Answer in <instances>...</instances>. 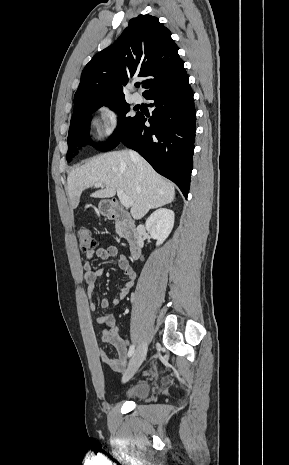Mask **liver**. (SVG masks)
<instances>
[{
  "label": "liver",
  "mask_w": 289,
  "mask_h": 465,
  "mask_svg": "<svg viewBox=\"0 0 289 465\" xmlns=\"http://www.w3.org/2000/svg\"><path fill=\"white\" fill-rule=\"evenodd\" d=\"M98 182L102 183V188L91 197L111 198L117 189L122 190L133 201L130 212L136 220L175 198L174 185L156 173L147 161L141 158V163L136 165L128 151H113L69 173L67 190L71 208H77L82 192Z\"/></svg>",
  "instance_id": "obj_1"
}]
</instances>
